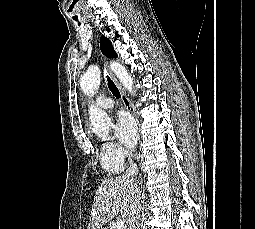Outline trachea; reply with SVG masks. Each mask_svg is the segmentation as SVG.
Here are the masks:
<instances>
[{
	"label": "trachea",
	"mask_w": 255,
	"mask_h": 229,
	"mask_svg": "<svg viewBox=\"0 0 255 229\" xmlns=\"http://www.w3.org/2000/svg\"><path fill=\"white\" fill-rule=\"evenodd\" d=\"M107 82H108V87L110 89V91L112 92V94L116 97V98H120V91L119 89L116 87V85L114 84V82L107 77Z\"/></svg>",
	"instance_id": "1"
}]
</instances>
